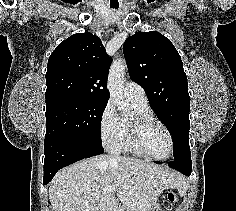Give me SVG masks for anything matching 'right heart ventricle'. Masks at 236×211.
I'll use <instances>...</instances> for the list:
<instances>
[{
	"instance_id": "e07e8e85",
	"label": "right heart ventricle",
	"mask_w": 236,
	"mask_h": 211,
	"mask_svg": "<svg viewBox=\"0 0 236 211\" xmlns=\"http://www.w3.org/2000/svg\"><path fill=\"white\" fill-rule=\"evenodd\" d=\"M135 112H143L148 115L154 116L152 110L150 109L148 103H139L133 100H130ZM127 120L128 118H120V123H121V131L118 139L116 140L113 150L115 152H124V153H133L134 150L129 146L128 141H127Z\"/></svg>"
}]
</instances>
